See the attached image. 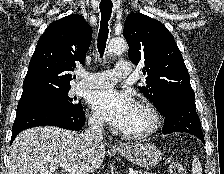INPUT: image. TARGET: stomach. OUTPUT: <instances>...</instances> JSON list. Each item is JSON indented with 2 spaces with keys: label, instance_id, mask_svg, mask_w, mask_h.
<instances>
[{
  "label": "stomach",
  "instance_id": "0dacf381",
  "mask_svg": "<svg viewBox=\"0 0 224 174\" xmlns=\"http://www.w3.org/2000/svg\"><path fill=\"white\" fill-rule=\"evenodd\" d=\"M118 152L129 161L144 168L153 167L162 159L159 148L151 143H138Z\"/></svg>",
  "mask_w": 224,
  "mask_h": 174
}]
</instances>
